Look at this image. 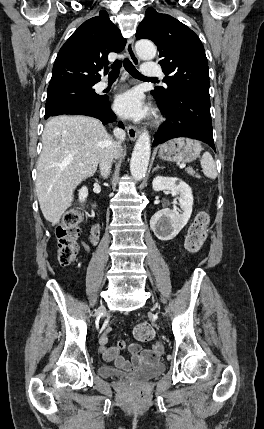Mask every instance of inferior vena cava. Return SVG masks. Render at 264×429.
<instances>
[{"instance_id":"obj_1","label":"inferior vena cava","mask_w":264,"mask_h":429,"mask_svg":"<svg viewBox=\"0 0 264 429\" xmlns=\"http://www.w3.org/2000/svg\"><path fill=\"white\" fill-rule=\"evenodd\" d=\"M113 133L116 137V141L110 142L106 150L101 155L99 161L100 173L103 178H107V176L110 174L113 159L118 156L119 150L121 149V144L126 137L125 131L120 128H115Z\"/></svg>"}]
</instances>
